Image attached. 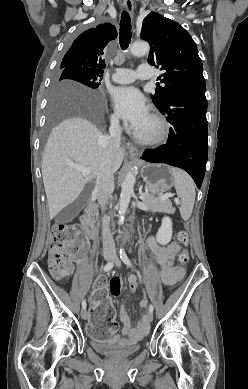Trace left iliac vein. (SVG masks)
I'll list each match as a JSON object with an SVG mask.
<instances>
[{
    "label": "left iliac vein",
    "instance_id": "1",
    "mask_svg": "<svg viewBox=\"0 0 248 389\" xmlns=\"http://www.w3.org/2000/svg\"><path fill=\"white\" fill-rule=\"evenodd\" d=\"M114 261H115V265H116L117 267H120V266H121V262H120V260H119V258H118L117 256H114ZM147 320H148L149 322H152V320H153V314H152V312H149V313L147 314Z\"/></svg>",
    "mask_w": 248,
    "mask_h": 389
}]
</instances>
